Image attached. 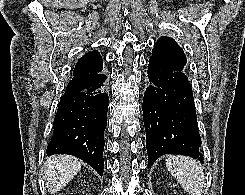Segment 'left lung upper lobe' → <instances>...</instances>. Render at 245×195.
Segmentation results:
<instances>
[{"label": "left lung upper lobe", "instance_id": "left-lung-upper-lobe-1", "mask_svg": "<svg viewBox=\"0 0 245 195\" xmlns=\"http://www.w3.org/2000/svg\"><path fill=\"white\" fill-rule=\"evenodd\" d=\"M151 57L164 61L165 63L174 67L175 70L185 71V54L177 42H175V40L172 38L167 36L160 37L154 45Z\"/></svg>", "mask_w": 245, "mask_h": 195}]
</instances>
